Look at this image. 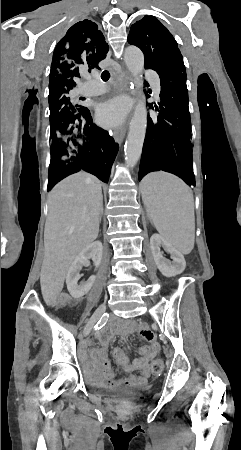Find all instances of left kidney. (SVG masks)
Here are the masks:
<instances>
[{
  "mask_svg": "<svg viewBox=\"0 0 241 450\" xmlns=\"http://www.w3.org/2000/svg\"><path fill=\"white\" fill-rule=\"evenodd\" d=\"M164 248L166 252L171 254V260H166L163 256V252H161L160 248ZM150 248L152 252V256L154 258V262L160 270L163 276H167V278H171V276H177V274H182L186 268V262L184 256L175 250L163 236H159V234H153L150 238Z\"/></svg>",
  "mask_w": 241,
  "mask_h": 450,
  "instance_id": "5707ae66",
  "label": "left kidney"
}]
</instances>
